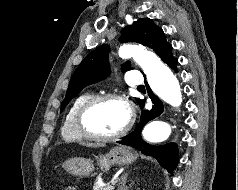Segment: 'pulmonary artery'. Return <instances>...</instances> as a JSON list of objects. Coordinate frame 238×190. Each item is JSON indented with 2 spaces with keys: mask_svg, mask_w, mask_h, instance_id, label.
<instances>
[{
  "mask_svg": "<svg viewBox=\"0 0 238 190\" xmlns=\"http://www.w3.org/2000/svg\"><path fill=\"white\" fill-rule=\"evenodd\" d=\"M126 82L129 86L137 87L143 84V79L138 71H129L126 75Z\"/></svg>",
  "mask_w": 238,
  "mask_h": 190,
  "instance_id": "obj_1",
  "label": "pulmonary artery"
}]
</instances>
